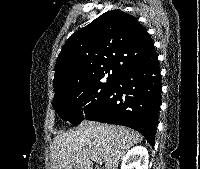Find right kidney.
Masks as SVG:
<instances>
[{"mask_svg": "<svg viewBox=\"0 0 200 169\" xmlns=\"http://www.w3.org/2000/svg\"><path fill=\"white\" fill-rule=\"evenodd\" d=\"M148 151L143 146H136L123 157L121 169H148Z\"/></svg>", "mask_w": 200, "mask_h": 169, "instance_id": "ca27d5eb", "label": "right kidney"}]
</instances>
